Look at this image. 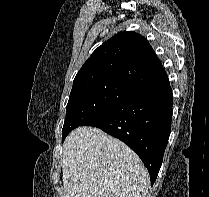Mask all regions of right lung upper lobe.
<instances>
[{"label": "right lung upper lobe", "instance_id": "obj_1", "mask_svg": "<svg viewBox=\"0 0 209 197\" xmlns=\"http://www.w3.org/2000/svg\"><path fill=\"white\" fill-rule=\"evenodd\" d=\"M167 77L149 42L124 31L99 46L77 73L74 82L112 80L137 90Z\"/></svg>", "mask_w": 209, "mask_h": 197}]
</instances>
